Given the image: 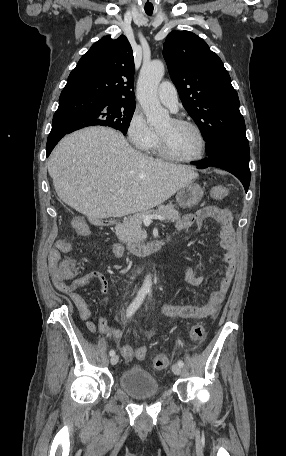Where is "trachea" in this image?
Returning <instances> with one entry per match:
<instances>
[{
  "label": "trachea",
  "mask_w": 286,
  "mask_h": 456,
  "mask_svg": "<svg viewBox=\"0 0 286 456\" xmlns=\"http://www.w3.org/2000/svg\"><path fill=\"white\" fill-rule=\"evenodd\" d=\"M152 13H147V15H151Z\"/></svg>",
  "instance_id": "3493384b"
}]
</instances>
